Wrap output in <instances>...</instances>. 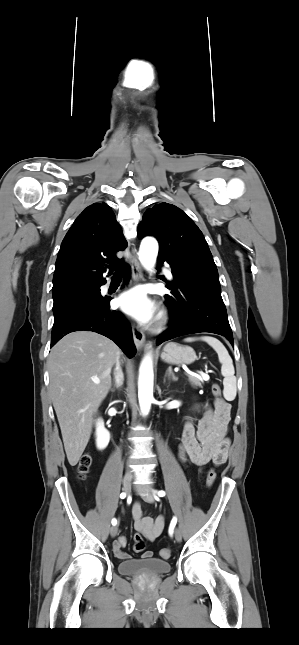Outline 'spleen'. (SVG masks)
<instances>
[{"instance_id":"spleen-1","label":"spleen","mask_w":299,"mask_h":645,"mask_svg":"<svg viewBox=\"0 0 299 645\" xmlns=\"http://www.w3.org/2000/svg\"><path fill=\"white\" fill-rule=\"evenodd\" d=\"M202 340L208 343L218 354L219 362L221 363V374L224 377L223 385V395L226 400L232 401L236 397L237 387H236V377L234 376L235 370L233 366V361L226 350L225 346L216 338L210 336H203L201 338H186V342H192L195 340Z\"/></svg>"}]
</instances>
